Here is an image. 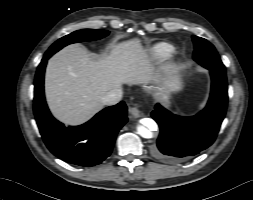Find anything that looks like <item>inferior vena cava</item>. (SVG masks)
<instances>
[{
    "label": "inferior vena cava",
    "instance_id": "602c4592",
    "mask_svg": "<svg viewBox=\"0 0 253 200\" xmlns=\"http://www.w3.org/2000/svg\"><path fill=\"white\" fill-rule=\"evenodd\" d=\"M122 96V89H113L103 97V102L107 105H115L121 101Z\"/></svg>",
    "mask_w": 253,
    "mask_h": 200
}]
</instances>
